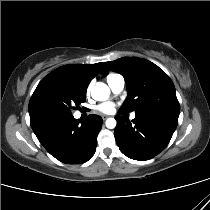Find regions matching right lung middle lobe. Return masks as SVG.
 Masks as SVG:
<instances>
[{
  "label": "right lung middle lobe",
  "instance_id": "1",
  "mask_svg": "<svg viewBox=\"0 0 210 210\" xmlns=\"http://www.w3.org/2000/svg\"><path fill=\"white\" fill-rule=\"evenodd\" d=\"M86 100V90L73 84L55 83L41 89L29 112L31 127L71 115V109Z\"/></svg>",
  "mask_w": 210,
  "mask_h": 210
}]
</instances>
